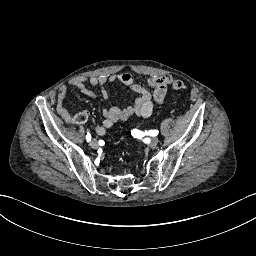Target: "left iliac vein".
Masks as SVG:
<instances>
[{"label": "left iliac vein", "mask_w": 256, "mask_h": 256, "mask_svg": "<svg viewBox=\"0 0 256 256\" xmlns=\"http://www.w3.org/2000/svg\"><path fill=\"white\" fill-rule=\"evenodd\" d=\"M159 139L157 137H153L149 142V147L154 148L157 146Z\"/></svg>", "instance_id": "left-iliac-vein-1"}]
</instances>
